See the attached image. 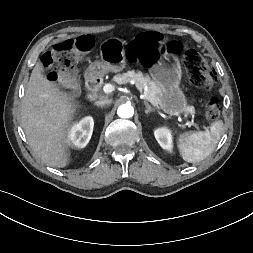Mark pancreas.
Here are the masks:
<instances>
[{"label": "pancreas", "mask_w": 253, "mask_h": 253, "mask_svg": "<svg viewBox=\"0 0 253 253\" xmlns=\"http://www.w3.org/2000/svg\"><path fill=\"white\" fill-rule=\"evenodd\" d=\"M131 80L135 82L136 87L140 91L147 87L146 94L154 101L156 106H162L163 91L148 75H144L141 72L128 71L113 78V81L118 84H126Z\"/></svg>", "instance_id": "cf45deb5"}]
</instances>
